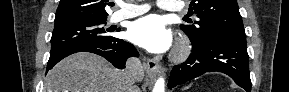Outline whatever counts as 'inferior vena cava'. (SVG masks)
I'll list each match as a JSON object with an SVG mask.
<instances>
[{
  "mask_svg": "<svg viewBox=\"0 0 289 92\" xmlns=\"http://www.w3.org/2000/svg\"><path fill=\"white\" fill-rule=\"evenodd\" d=\"M144 77V68L137 57H130L126 61L124 71L125 85L128 92L136 91L135 83L141 81Z\"/></svg>",
  "mask_w": 289,
  "mask_h": 92,
  "instance_id": "1",
  "label": "inferior vena cava"
}]
</instances>
